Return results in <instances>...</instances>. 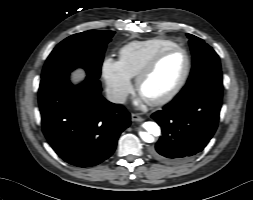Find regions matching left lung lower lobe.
<instances>
[{
    "instance_id": "0a47b994",
    "label": "left lung lower lobe",
    "mask_w": 253,
    "mask_h": 200,
    "mask_svg": "<svg viewBox=\"0 0 253 200\" xmlns=\"http://www.w3.org/2000/svg\"><path fill=\"white\" fill-rule=\"evenodd\" d=\"M222 92V88L204 87L186 98L175 97L153 113L162 136L151 148V155L159 161L178 164L202 151L216 131Z\"/></svg>"
}]
</instances>
